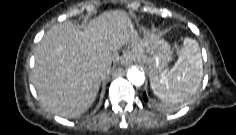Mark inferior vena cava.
<instances>
[{
    "label": "inferior vena cava",
    "instance_id": "1",
    "mask_svg": "<svg viewBox=\"0 0 236 135\" xmlns=\"http://www.w3.org/2000/svg\"><path fill=\"white\" fill-rule=\"evenodd\" d=\"M108 66H109V67L111 66V62L108 63Z\"/></svg>",
    "mask_w": 236,
    "mask_h": 135
}]
</instances>
